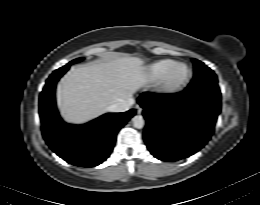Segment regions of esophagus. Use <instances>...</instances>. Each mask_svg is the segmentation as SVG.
<instances>
[{"label":"esophagus","instance_id":"esophagus-1","mask_svg":"<svg viewBox=\"0 0 260 205\" xmlns=\"http://www.w3.org/2000/svg\"><path fill=\"white\" fill-rule=\"evenodd\" d=\"M136 109L138 114L142 113V108L139 105H136Z\"/></svg>","mask_w":260,"mask_h":205}]
</instances>
